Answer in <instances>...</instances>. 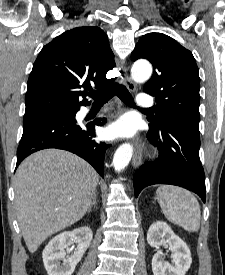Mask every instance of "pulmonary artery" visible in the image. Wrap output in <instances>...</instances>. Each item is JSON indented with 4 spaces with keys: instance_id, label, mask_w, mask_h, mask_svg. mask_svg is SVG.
<instances>
[{
    "instance_id": "obj_1",
    "label": "pulmonary artery",
    "mask_w": 225,
    "mask_h": 275,
    "mask_svg": "<svg viewBox=\"0 0 225 275\" xmlns=\"http://www.w3.org/2000/svg\"><path fill=\"white\" fill-rule=\"evenodd\" d=\"M137 104L140 106V107H143V108H150L153 106L154 104V101H153V98L146 95V94H139L138 97H137Z\"/></svg>"
}]
</instances>
